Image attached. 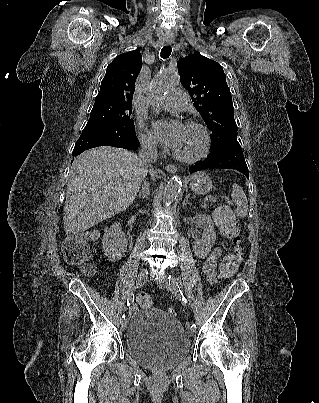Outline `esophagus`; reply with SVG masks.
Instances as JSON below:
<instances>
[{
    "label": "esophagus",
    "instance_id": "1",
    "mask_svg": "<svg viewBox=\"0 0 319 403\" xmlns=\"http://www.w3.org/2000/svg\"><path fill=\"white\" fill-rule=\"evenodd\" d=\"M165 43H166L167 45H171V44H172V41H171V40H167ZM165 170H166L167 172H170V173H176V172H177V167L174 166V165H172V164H168V165L165 166Z\"/></svg>",
    "mask_w": 319,
    "mask_h": 403
}]
</instances>
